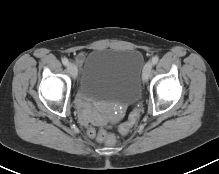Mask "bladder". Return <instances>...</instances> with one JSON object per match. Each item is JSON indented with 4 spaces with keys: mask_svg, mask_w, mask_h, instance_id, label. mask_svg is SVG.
Segmentation results:
<instances>
[{
    "mask_svg": "<svg viewBox=\"0 0 219 174\" xmlns=\"http://www.w3.org/2000/svg\"><path fill=\"white\" fill-rule=\"evenodd\" d=\"M143 66L137 49L92 50L84 60L79 91L96 101L133 104L141 95Z\"/></svg>",
    "mask_w": 219,
    "mask_h": 174,
    "instance_id": "bladder-1",
    "label": "bladder"
}]
</instances>
